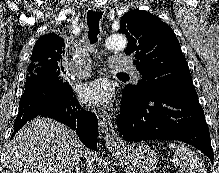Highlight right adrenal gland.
<instances>
[{
  "mask_svg": "<svg viewBox=\"0 0 219 173\" xmlns=\"http://www.w3.org/2000/svg\"><path fill=\"white\" fill-rule=\"evenodd\" d=\"M75 173H83V171H80V166H75Z\"/></svg>",
  "mask_w": 219,
  "mask_h": 173,
  "instance_id": "right-adrenal-gland-1",
  "label": "right adrenal gland"
}]
</instances>
